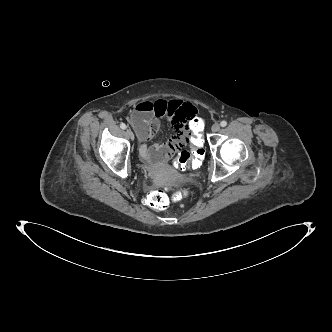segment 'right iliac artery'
<instances>
[{
	"mask_svg": "<svg viewBox=\"0 0 332 332\" xmlns=\"http://www.w3.org/2000/svg\"><path fill=\"white\" fill-rule=\"evenodd\" d=\"M120 127H121L122 129H126V125H125V123H121V124H120Z\"/></svg>",
	"mask_w": 332,
	"mask_h": 332,
	"instance_id": "obj_1",
	"label": "right iliac artery"
}]
</instances>
